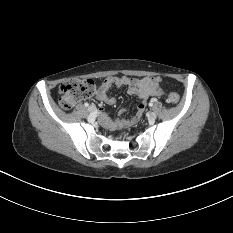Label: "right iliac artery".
I'll return each mask as SVG.
<instances>
[{"label":"right iliac artery","mask_w":233,"mask_h":233,"mask_svg":"<svg viewBox=\"0 0 233 233\" xmlns=\"http://www.w3.org/2000/svg\"><path fill=\"white\" fill-rule=\"evenodd\" d=\"M84 106H85V107H88V106H89V104H88V103H85V104H84Z\"/></svg>","instance_id":"obj_1"}]
</instances>
